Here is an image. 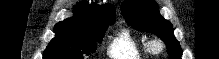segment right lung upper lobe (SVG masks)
<instances>
[{"mask_svg":"<svg viewBox=\"0 0 219 59\" xmlns=\"http://www.w3.org/2000/svg\"><path fill=\"white\" fill-rule=\"evenodd\" d=\"M74 16L58 24L82 26L85 28L105 27L113 24L116 19V11L111 4L99 6L83 1L74 9Z\"/></svg>","mask_w":219,"mask_h":59,"instance_id":"1","label":"right lung upper lobe"}]
</instances>
